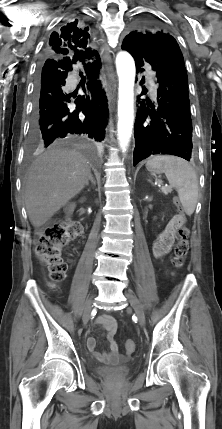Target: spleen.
Listing matches in <instances>:
<instances>
[{"label":"spleen","mask_w":222,"mask_h":429,"mask_svg":"<svg viewBox=\"0 0 222 429\" xmlns=\"http://www.w3.org/2000/svg\"><path fill=\"white\" fill-rule=\"evenodd\" d=\"M146 167L166 175L170 186L176 188L185 213L191 216L198 200V180L193 168L185 160L170 155L152 156Z\"/></svg>","instance_id":"obj_1"}]
</instances>
